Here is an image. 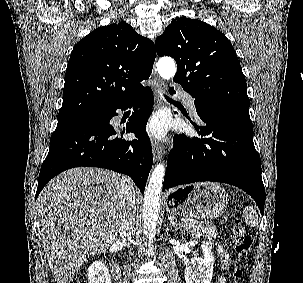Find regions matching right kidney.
I'll return each mask as SVG.
<instances>
[{"label": "right kidney", "mask_w": 303, "mask_h": 283, "mask_svg": "<svg viewBox=\"0 0 303 283\" xmlns=\"http://www.w3.org/2000/svg\"><path fill=\"white\" fill-rule=\"evenodd\" d=\"M87 272L89 283H111L109 271L101 261H94Z\"/></svg>", "instance_id": "right-kidney-1"}]
</instances>
